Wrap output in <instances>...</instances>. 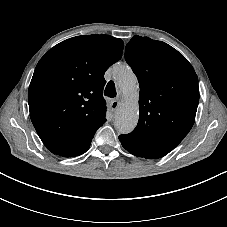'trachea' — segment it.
<instances>
[{"mask_svg": "<svg viewBox=\"0 0 227 227\" xmlns=\"http://www.w3.org/2000/svg\"><path fill=\"white\" fill-rule=\"evenodd\" d=\"M104 95L110 98L116 97V87L113 81H109L105 88Z\"/></svg>", "mask_w": 227, "mask_h": 227, "instance_id": "1", "label": "trachea"}]
</instances>
